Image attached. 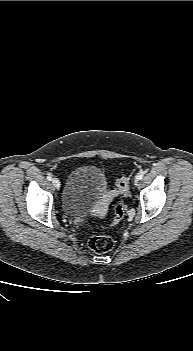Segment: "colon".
Masks as SVG:
<instances>
[{
  "label": "colon",
  "instance_id": "5ec220e1",
  "mask_svg": "<svg viewBox=\"0 0 193 351\" xmlns=\"http://www.w3.org/2000/svg\"><path fill=\"white\" fill-rule=\"evenodd\" d=\"M128 192V178L124 174H120L115 182V194L123 198ZM124 215V204L120 200L115 206L114 218L112 225L119 223ZM113 240L106 235H94L88 241L89 248L96 253H105L113 248Z\"/></svg>",
  "mask_w": 193,
  "mask_h": 351
}]
</instances>
